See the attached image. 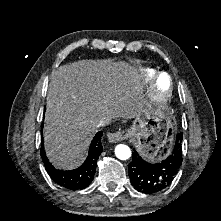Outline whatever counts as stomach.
Segmentation results:
<instances>
[{
    "mask_svg": "<svg viewBox=\"0 0 221 221\" xmlns=\"http://www.w3.org/2000/svg\"><path fill=\"white\" fill-rule=\"evenodd\" d=\"M130 135L140 154L152 160L172 146L174 127L169 113L149 115L140 109L130 129Z\"/></svg>",
    "mask_w": 221,
    "mask_h": 221,
    "instance_id": "1",
    "label": "stomach"
}]
</instances>
